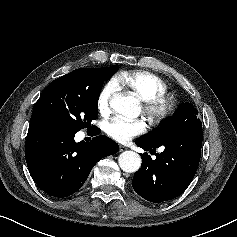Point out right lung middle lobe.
<instances>
[{
	"mask_svg": "<svg viewBox=\"0 0 237 237\" xmlns=\"http://www.w3.org/2000/svg\"><path fill=\"white\" fill-rule=\"evenodd\" d=\"M118 68V65L89 68L90 77L87 81H80L69 75L55 79L36 102L32 116L42 127L75 133L91 127L92 120L97 118L102 85Z\"/></svg>",
	"mask_w": 237,
	"mask_h": 237,
	"instance_id": "1",
	"label": "right lung middle lobe"
}]
</instances>
